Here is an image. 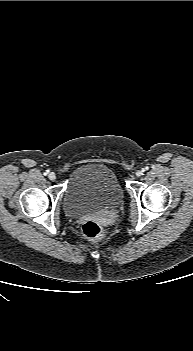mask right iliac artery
<instances>
[{
    "label": "right iliac artery",
    "instance_id": "82829eb1",
    "mask_svg": "<svg viewBox=\"0 0 193 351\" xmlns=\"http://www.w3.org/2000/svg\"><path fill=\"white\" fill-rule=\"evenodd\" d=\"M49 173V171L47 170L46 172H44V175L46 176Z\"/></svg>",
    "mask_w": 193,
    "mask_h": 351
}]
</instances>
